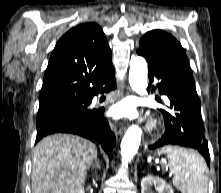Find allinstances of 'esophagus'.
<instances>
[{
	"label": "esophagus",
	"mask_w": 221,
	"mask_h": 193,
	"mask_svg": "<svg viewBox=\"0 0 221 193\" xmlns=\"http://www.w3.org/2000/svg\"><path fill=\"white\" fill-rule=\"evenodd\" d=\"M128 93V91H127ZM124 95V92H121V96L123 97ZM121 103V102H120ZM114 125H117V124H114ZM118 125H124V124H118ZM126 125V124H125ZM129 126H132V123H129L128 124ZM114 131H117V128H114ZM119 131H125V128H119Z\"/></svg>",
	"instance_id": "1"
}]
</instances>
